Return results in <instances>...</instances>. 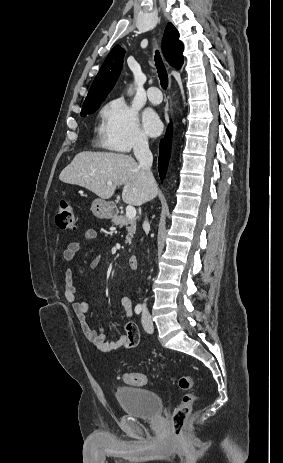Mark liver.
<instances>
[{"label":"liver","instance_id":"6515ba94","mask_svg":"<svg viewBox=\"0 0 283 463\" xmlns=\"http://www.w3.org/2000/svg\"><path fill=\"white\" fill-rule=\"evenodd\" d=\"M59 179L84 187L102 199L111 198L117 186L123 185L122 200L136 206L154 198L157 193L156 183L147 188L139 164L131 155L123 153H78L61 171Z\"/></svg>","mask_w":283,"mask_h":463}]
</instances>
